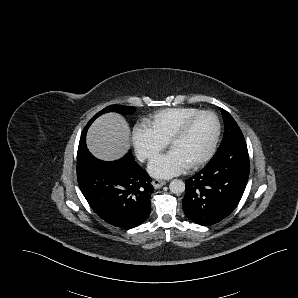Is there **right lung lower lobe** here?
Returning <instances> with one entry per match:
<instances>
[{"label": "right lung lower lobe", "instance_id": "1", "mask_svg": "<svg viewBox=\"0 0 298 298\" xmlns=\"http://www.w3.org/2000/svg\"><path fill=\"white\" fill-rule=\"evenodd\" d=\"M77 180L91 208L111 225L134 228L151 212L154 188L131 153L111 162L95 158L88 149L78 153Z\"/></svg>", "mask_w": 298, "mask_h": 298}]
</instances>
